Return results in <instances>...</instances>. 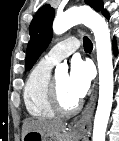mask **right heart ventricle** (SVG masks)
Returning a JSON list of instances; mask_svg holds the SVG:
<instances>
[{
    "mask_svg": "<svg viewBox=\"0 0 119 141\" xmlns=\"http://www.w3.org/2000/svg\"><path fill=\"white\" fill-rule=\"evenodd\" d=\"M54 65L43 59L30 72L24 86V103L28 113L37 119H52L55 113L47 100V89Z\"/></svg>",
    "mask_w": 119,
    "mask_h": 141,
    "instance_id": "right-heart-ventricle-1",
    "label": "right heart ventricle"
}]
</instances>
